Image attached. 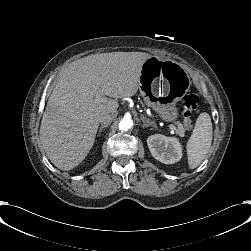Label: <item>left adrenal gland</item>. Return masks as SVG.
Here are the masks:
<instances>
[{
	"label": "left adrenal gland",
	"mask_w": 251,
	"mask_h": 251,
	"mask_svg": "<svg viewBox=\"0 0 251 251\" xmlns=\"http://www.w3.org/2000/svg\"><path fill=\"white\" fill-rule=\"evenodd\" d=\"M141 120L143 121V126L144 127H149V126H153L152 122L150 121V119H147L144 116H141Z\"/></svg>",
	"instance_id": "a2214340"
}]
</instances>
